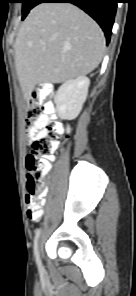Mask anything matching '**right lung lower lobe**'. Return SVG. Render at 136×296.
Segmentation results:
<instances>
[{"instance_id": "right-lung-lower-lobe-1", "label": "right lung lower lobe", "mask_w": 136, "mask_h": 296, "mask_svg": "<svg viewBox=\"0 0 136 296\" xmlns=\"http://www.w3.org/2000/svg\"><path fill=\"white\" fill-rule=\"evenodd\" d=\"M118 2L119 0H40V3H72L80 7L100 25L107 43L110 41Z\"/></svg>"}]
</instances>
